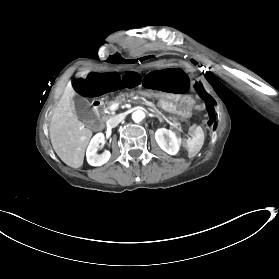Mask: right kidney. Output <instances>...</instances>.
<instances>
[{
  "label": "right kidney",
  "instance_id": "1",
  "mask_svg": "<svg viewBox=\"0 0 279 279\" xmlns=\"http://www.w3.org/2000/svg\"><path fill=\"white\" fill-rule=\"evenodd\" d=\"M104 134L97 133L90 141L86 151L87 162L91 166H101L105 164L111 157L109 151H104L102 154H97L100 143H104Z\"/></svg>",
  "mask_w": 279,
  "mask_h": 279
}]
</instances>
